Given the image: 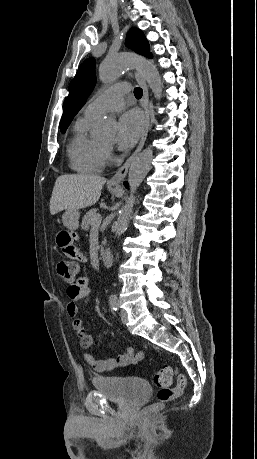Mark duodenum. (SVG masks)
Returning <instances> with one entry per match:
<instances>
[{
  "label": "duodenum",
  "mask_w": 257,
  "mask_h": 459,
  "mask_svg": "<svg viewBox=\"0 0 257 459\" xmlns=\"http://www.w3.org/2000/svg\"><path fill=\"white\" fill-rule=\"evenodd\" d=\"M101 264L104 267H108L113 263V254L109 250H104L100 254Z\"/></svg>",
  "instance_id": "410a0bca"
}]
</instances>
